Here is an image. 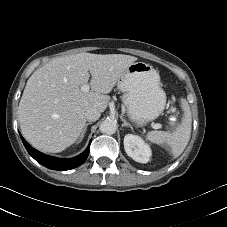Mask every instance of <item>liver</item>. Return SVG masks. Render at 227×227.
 I'll return each mask as SVG.
<instances>
[{
	"mask_svg": "<svg viewBox=\"0 0 227 227\" xmlns=\"http://www.w3.org/2000/svg\"><path fill=\"white\" fill-rule=\"evenodd\" d=\"M138 58L123 54H91L54 58L28 79L18 115L22 134L35 148L58 153L80 137L85 112H104L108 95L125 70ZM91 74V91L82 92Z\"/></svg>",
	"mask_w": 227,
	"mask_h": 227,
	"instance_id": "1",
	"label": "liver"
}]
</instances>
